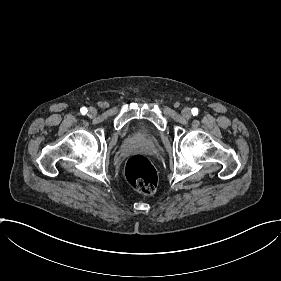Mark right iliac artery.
Listing matches in <instances>:
<instances>
[{"label": "right iliac artery", "instance_id": "obj_1", "mask_svg": "<svg viewBox=\"0 0 281 281\" xmlns=\"http://www.w3.org/2000/svg\"><path fill=\"white\" fill-rule=\"evenodd\" d=\"M80 111H81L82 114H86L87 113V108L86 107H82L80 109Z\"/></svg>", "mask_w": 281, "mask_h": 281}]
</instances>
